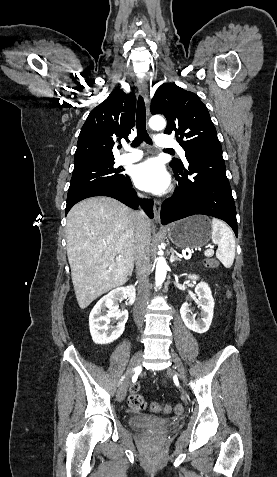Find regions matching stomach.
Instances as JSON below:
<instances>
[{
	"instance_id": "1",
	"label": "stomach",
	"mask_w": 277,
	"mask_h": 477,
	"mask_svg": "<svg viewBox=\"0 0 277 477\" xmlns=\"http://www.w3.org/2000/svg\"><path fill=\"white\" fill-rule=\"evenodd\" d=\"M166 230L171 242L185 249L202 247L212 237L210 220L203 215H194L174 222Z\"/></svg>"
}]
</instances>
